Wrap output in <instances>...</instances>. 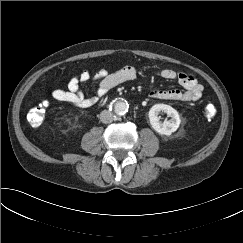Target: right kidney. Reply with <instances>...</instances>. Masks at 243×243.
Listing matches in <instances>:
<instances>
[{
  "label": "right kidney",
  "instance_id": "right-kidney-1",
  "mask_svg": "<svg viewBox=\"0 0 243 243\" xmlns=\"http://www.w3.org/2000/svg\"><path fill=\"white\" fill-rule=\"evenodd\" d=\"M66 122L70 124V119H67Z\"/></svg>",
  "mask_w": 243,
  "mask_h": 243
}]
</instances>
